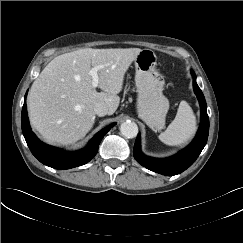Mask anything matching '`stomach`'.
Masks as SVG:
<instances>
[{"instance_id": "stomach-1", "label": "stomach", "mask_w": 243, "mask_h": 243, "mask_svg": "<svg viewBox=\"0 0 243 243\" xmlns=\"http://www.w3.org/2000/svg\"><path fill=\"white\" fill-rule=\"evenodd\" d=\"M134 64L138 115L151 129L161 130L165 125L169 101L162 93L165 80L156 69L157 56L152 50L143 49Z\"/></svg>"}]
</instances>
